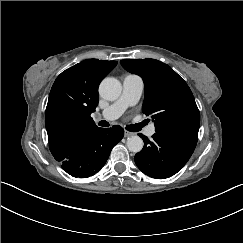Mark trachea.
Returning a JSON list of instances; mask_svg holds the SVG:
<instances>
[{"label":"trachea","instance_id":"1","mask_svg":"<svg viewBox=\"0 0 243 243\" xmlns=\"http://www.w3.org/2000/svg\"><path fill=\"white\" fill-rule=\"evenodd\" d=\"M99 125H100V126H109V124H108L106 121H104V120H102V121L99 123ZM127 129H128L129 131H132V132H136V131L139 130V129H135L134 126H133L132 128H130V129H129V127H127Z\"/></svg>","mask_w":243,"mask_h":243}]
</instances>
